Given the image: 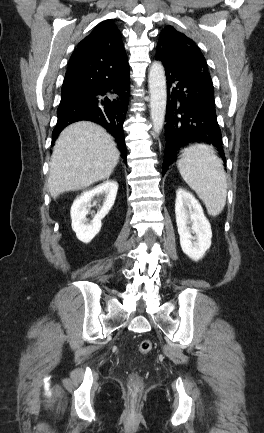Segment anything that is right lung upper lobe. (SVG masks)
Masks as SVG:
<instances>
[{"instance_id":"1","label":"right lung upper lobe","mask_w":264,"mask_h":433,"mask_svg":"<svg viewBox=\"0 0 264 433\" xmlns=\"http://www.w3.org/2000/svg\"><path fill=\"white\" fill-rule=\"evenodd\" d=\"M127 62L121 33L112 20H106L78 44L68 69L93 65L117 66Z\"/></svg>"}]
</instances>
